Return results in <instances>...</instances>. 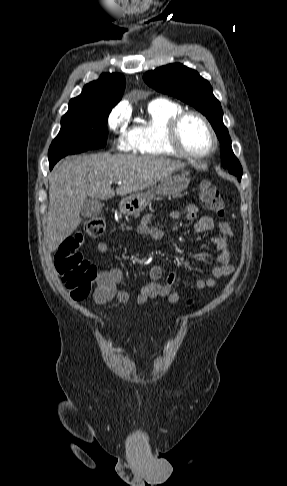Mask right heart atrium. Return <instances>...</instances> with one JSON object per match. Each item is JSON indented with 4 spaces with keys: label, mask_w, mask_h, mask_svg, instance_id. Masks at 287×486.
<instances>
[{
    "label": "right heart atrium",
    "mask_w": 287,
    "mask_h": 486,
    "mask_svg": "<svg viewBox=\"0 0 287 486\" xmlns=\"http://www.w3.org/2000/svg\"><path fill=\"white\" fill-rule=\"evenodd\" d=\"M107 127L117 135L115 147L122 152L133 149L130 130H128V115L121 108H114L107 117Z\"/></svg>",
    "instance_id": "obj_1"
}]
</instances>
